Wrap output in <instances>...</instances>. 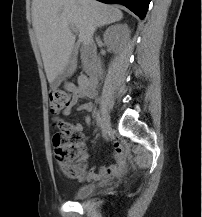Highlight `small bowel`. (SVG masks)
Masks as SVG:
<instances>
[{"label": "small bowel", "instance_id": "obj_1", "mask_svg": "<svg viewBox=\"0 0 202 217\" xmlns=\"http://www.w3.org/2000/svg\"><path fill=\"white\" fill-rule=\"evenodd\" d=\"M82 79L81 77L78 79V84L75 85L73 83H66L65 88L66 90L73 96V103L76 101L78 97H86V98H92L93 93H88L81 85ZM93 109L92 102L88 101L86 103H83L79 105L78 110L79 111H87L90 112ZM66 114L70 113V109L65 110ZM92 122L90 116H86L85 123L87 125H90ZM71 127L75 130H82L83 126L80 123H74L71 124ZM114 159L115 164L112 166H101L99 169V172L97 173L94 170L86 171L85 167L83 170L84 176L89 179H99L101 177L105 178H111V177H117L122 174H124L127 171V164L126 160L129 158L128 150L122 146V144L118 141H115L114 144ZM86 155L83 156V162L85 163Z\"/></svg>", "mask_w": 202, "mask_h": 217}]
</instances>
